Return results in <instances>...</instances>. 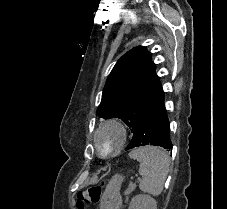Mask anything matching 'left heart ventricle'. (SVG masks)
<instances>
[{
	"mask_svg": "<svg viewBox=\"0 0 227 209\" xmlns=\"http://www.w3.org/2000/svg\"><path fill=\"white\" fill-rule=\"evenodd\" d=\"M119 139L118 130L113 126H108L99 132L96 138V144L102 153H107L117 147Z\"/></svg>",
	"mask_w": 227,
	"mask_h": 209,
	"instance_id": "b2bd125f",
	"label": "left heart ventricle"
}]
</instances>
